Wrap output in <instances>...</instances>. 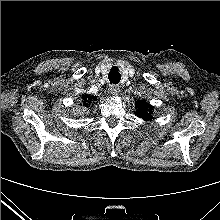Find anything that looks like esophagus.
<instances>
[{"instance_id":"34e87169","label":"esophagus","mask_w":220,"mask_h":220,"mask_svg":"<svg viewBox=\"0 0 220 220\" xmlns=\"http://www.w3.org/2000/svg\"><path fill=\"white\" fill-rule=\"evenodd\" d=\"M109 91L112 95H118V93L120 92V88L118 85H111Z\"/></svg>"}]
</instances>
